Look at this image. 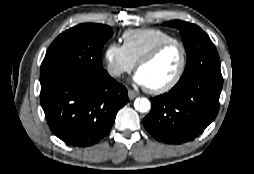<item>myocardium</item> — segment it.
I'll list each match as a JSON object with an SVG mask.
<instances>
[{"label": "myocardium", "mask_w": 254, "mask_h": 174, "mask_svg": "<svg viewBox=\"0 0 254 174\" xmlns=\"http://www.w3.org/2000/svg\"><path fill=\"white\" fill-rule=\"evenodd\" d=\"M172 45L179 46L181 50V64L179 66V69L177 73L175 74V76L168 83L157 88L146 87L147 91L152 94L159 95V94L166 93L172 90L180 82L187 66L188 54H187L186 46L184 45L183 42L177 39H172V40L160 43L159 45L155 46L152 50H150L145 56H143L136 64V69L138 71L140 67L152 62L155 58L159 56V54L162 51H164L166 48Z\"/></svg>", "instance_id": "f54148a6"}]
</instances>
